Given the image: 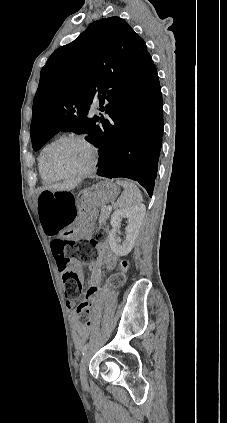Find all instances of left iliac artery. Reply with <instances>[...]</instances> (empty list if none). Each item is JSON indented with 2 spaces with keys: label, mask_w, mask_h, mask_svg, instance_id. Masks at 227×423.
<instances>
[{
  "label": "left iliac artery",
  "mask_w": 227,
  "mask_h": 423,
  "mask_svg": "<svg viewBox=\"0 0 227 423\" xmlns=\"http://www.w3.org/2000/svg\"><path fill=\"white\" fill-rule=\"evenodd\" d=\"M89 348V344H87V345H85L83 348H82V354L84 355V353L86 352V350Z\"/></svg>",
  "instance_id": "left-iliac-artery-1"
}]
</instances>
